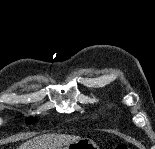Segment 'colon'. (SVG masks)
Here are the masks:
<instances>
[{"label": "colon", "instance_id": "1", "mask_svg": "<svg viewBox=\"0 0 155 149\" xmlns=\"http://www.w3.org/2000/svg\"><path fill=\"white\" fill-rule=\"evenodd\" d=\"M115 149H129V148L127 144L122 143L117 145Z\"/></svg>", "mask_w": 155, "mask_h": 149}]
</instances>
